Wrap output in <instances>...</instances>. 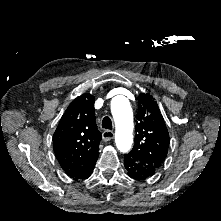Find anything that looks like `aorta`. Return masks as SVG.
I'll return each instance as SVG.
<instances>
[{
    "label": "aorta",
    "instance_id": "1",
    "mask_svg": "<svg viewBox=\"0 0 221 221\" xmlns=\"http://www.w3.org/2000/svg\"><path fill=\"white\" fill-rule=\"evenodd\" d=\"M111 111L116 125V147L121 152H128L133 143V113L128 99L122 95L114 97Z\"/></svg>",
    "mask_w": 221,
    "mask_h": 221
}]
</instances>
